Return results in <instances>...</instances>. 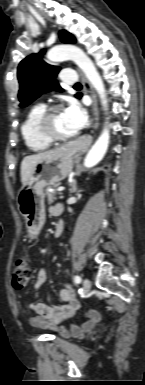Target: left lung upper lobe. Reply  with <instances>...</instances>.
I'll return each mask as SVG.
<instances>
[{"label": "left lung upper lobe", "instance_id": "5c2ea615", "mask_svg": "<svg viewBox=\"0 0 145 385\" xmlns=\"http://www.w3.org/2000/svg\"><path fill=\"white\" fill-rule=\"evenodd\" d=\"M60 39L63 43H75V38L67 31H60ZM42 50L38 54H31L23 59L18 66V80L20 90L18 98L20 107H25L33 102L42 93L50 90L63 91L55 77L60 68L51 66L42 60ZM80 98V94H76Z\"/></svg>", "mask_w": 145, "mask_h": 385}]
</instances>
